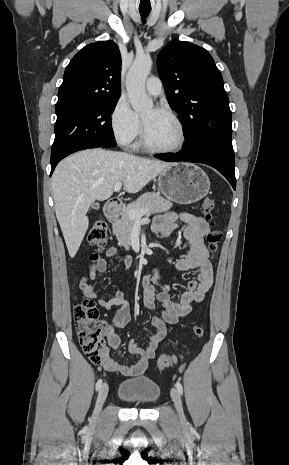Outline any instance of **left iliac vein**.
I'll return each instance as SVG.
<instances>
[{
  "instance_id": "left-iliac-vein-1",
  "label": "left iliac vein",
  "mask_w": 289,
  "mask_h": 465,
  "mask_svg": "<svg viewBox=\"0 0 289 465\" xmlns=\"http://www.w3.org/2000/svg\"><path fill=\"white\" fill-rule=\"evenodd\" d=\"M171 398L174 402V405H175V408H176V411L178 413V416L180 418V420L182 422L185 421V416H184V412H183V406H182V401H181V397H180V394L178 392V390L176 388H172L171 389Z\"/></svg>"
}]
</instances>
